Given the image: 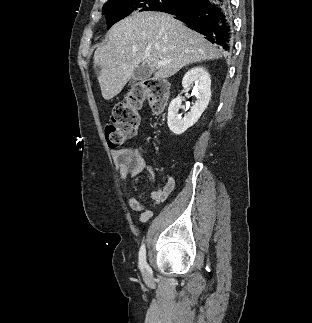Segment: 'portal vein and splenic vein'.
I'll return each mask as SVG.
<instances>
[{
	"mask_svg": "<svg viewBox=\"0 0 312 323\" xmlns=\"http://www.w3.org/2000/svg\"><path fill=\"white\" fill-rule=\"evenodd\" d=\"M145 56H149V54H145ZM166 64H170V62H157V68H161V66H166Z\"/></svg>",
	"mask_w": 312,
	"mask_h": 323,
	"instance_id": "portal-vein-and-splenic-vein-1",
	"label": "portal vein and splenic vein"
}]
</instances>
